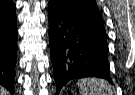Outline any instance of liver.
<instances>
[{
  "instance_id": "liver-1",
  "label": "liver",
  "mask_w": 135,
  "mask_h": 95,
  "mask_svg": "<svg viewBox=\"0 0 135 95\" xmlns=\"http://www.w3.org/2000/svg\"><path fill=\"white\" fill-rule=\"evenodd\" d=\"M0 95H9V92L6 91L4 88L0 87Z\"/></svg>"
}]
</instances>
